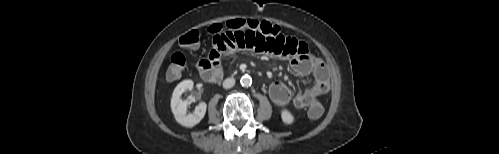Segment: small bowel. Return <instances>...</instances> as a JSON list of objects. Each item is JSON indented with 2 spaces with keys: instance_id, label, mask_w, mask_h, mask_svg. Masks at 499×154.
<instances>
[{
  "instance_id": "obj_1",
  "label": "small bowel",
  "mask_w": 499,
  "mask_h": 154,
  "mask_svg": "<svg viewBox=\"0 0 499 154\" xmlns=\"http://www.w3.org/2000/svg\"><path fill=\"white\" fill-rule=\"evenodd\" d=\"M239 50L288 59L296 73L313 76V83L296 94L283 82L274 81L270 85L269 95L279 107L293 104L298 109H304L330 90L329 73L325 63L310 53L304 41L282 33L271 36L252 29L225 30L214 35L213 49L197 65L201 77L207 82L220 80L223 75L222 57Z\"/></svg>"
}]
</instances>
